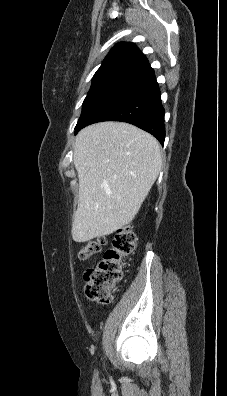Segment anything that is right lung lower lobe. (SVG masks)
Listing matches in <instances>:
<instances>
[{"instance_id":"obj_1","label":"right lung lower lobe","mask_w":227,"mask_h":396,"mask_svg":"<svg viewBox=\"0 0 227 396\" xmlns=\"http://www.w3.org/2000/svg\"><path fill=\"white\" fill-rule=\"evenodd\" d=\"M102 121L131 123L164 143V108L154 70L148 63L134 71L98 104L75 128V133Z\"/></svg>"}]
</instances>
